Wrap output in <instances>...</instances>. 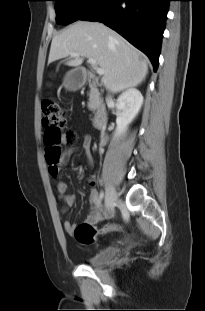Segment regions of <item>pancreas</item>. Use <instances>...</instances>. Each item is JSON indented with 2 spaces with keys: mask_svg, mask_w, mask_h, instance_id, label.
Listing matches in <instances>:
<instances>
[{
  "mask_svg": "<svg viewBox=\"0 0 205 311\" xmlns=\"http://www.w3.org/2000/svg\"><path fill=\"white\" fill-rule=\"evenodd\" d=\"M99 104V94L95 90H91L89 93L88 109L95 111Z\"/></svg>",
  "mask_w": 205,
  "mask_h": 311,
  "instance_id": "pancreas-1",
  "label": "pancreas"
}]
</instances>
